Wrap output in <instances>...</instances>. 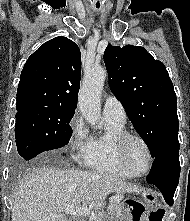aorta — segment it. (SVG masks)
<instances>
[{
  "label": "aorta",
  "mask_w": 190,
  "mask_h": 221,
  "mask_svg": "<svg viewBox=\"0 0 190 221\" xmlns=\"http://www.w3.org/2000/svg\"><path fill=\"white\" fill-rule=\"evenodd\" d=\"M107 72L99 67L84 77L78 95V107L85 120L98 127L101 121L100 95Z\"/></svg>",
  "instance_id": "762f6f07"
}]
</instances>
